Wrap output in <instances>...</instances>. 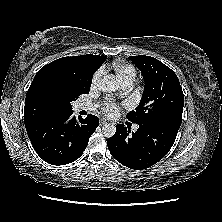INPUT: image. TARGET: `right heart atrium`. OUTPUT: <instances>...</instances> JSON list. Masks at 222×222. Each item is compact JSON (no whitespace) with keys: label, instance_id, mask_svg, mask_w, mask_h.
<instances>
[{"label":"right heart atrium","instance_id":"obj_1","mask_svg":"<svg viewBox=\"0 0 222 222\" xmlns=\"http://www.w3.org/2000/svg\"><path fill=\"white\" fill-rule=\"evenodd\" d=\"M101 75H102L101 71H97V72L94 74L93 79H92V85H93V86H95V85L99 82V80H100V78H101Z\"/></svg>","mask_w":222,"mask_h":222}]
</instances>
